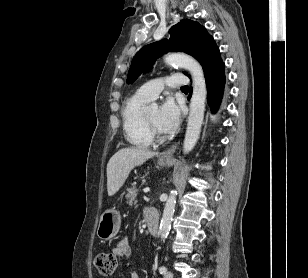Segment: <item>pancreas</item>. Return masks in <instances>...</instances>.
I'll return each instance as SVG.
<instances>
[{"label":"pancreas","mask_w":308,"mask_h":278,"mask_svg":"<svg viewBox=\"0 0 308 278\" xmlns=\"http://www.w3.org/2000/svg\"><path fill=\"white\" fill-rule=\"evenodd\" d=\"M127 191H128V193L126 195L127 203L129 205L136 203V197H137V194H138V190L133 187V188L128 189Z\"/></svg>","instance_id":"obj_1"}]
</instances>
